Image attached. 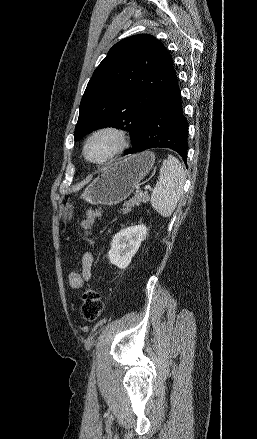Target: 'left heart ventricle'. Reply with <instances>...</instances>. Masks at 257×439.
<instances>
[{"label":"left heart ventricle","instance_id":"b2bd125f","mask_svg":"<svg viewBox=\"0 0 257 439\" xmlns=\"http://www.w3.org/2000/svg\"><path fill=\"white\" fill-rule=\"evenodd\" d=\"M116 147V140L109 134L94 138L88 146V156L93 160L105 158Z\"/></svg>","mask_w":257,"mask_h":439}]
</instances>
